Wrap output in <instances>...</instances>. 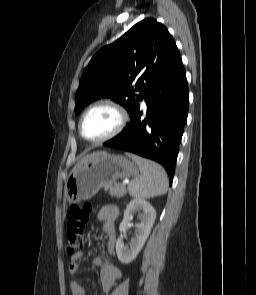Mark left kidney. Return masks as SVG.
<instances>
[{"mask_svg": "<svg viewBox=\"0 0 256 295\" xmlns=\"http://www.w3.org/2000/svg\"><path fill=\"white\" fill-rule=\"evenodd\" d=\"M143 212L141 217V222L136 224L137 233L135 237L131 240L130 246L125 247L123 244V235L116 241V253L119 261L123 264H128L132 262L142 247L144 246L151 228L153 227L155 218H156V211L153 206L143 200V199H133L129 202L124 211V217L122 222L119 226V231L121 233H125L129 224L130 220L133 218V214L135 212Z\"/></svg>", "mask_w": 256, "mask_h": 295, "instance_id": "5707ae66", "label": "left kidney"}]
</instances>
